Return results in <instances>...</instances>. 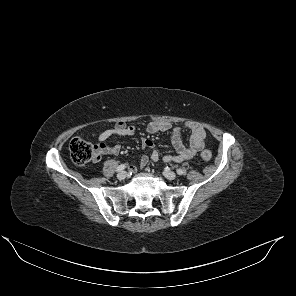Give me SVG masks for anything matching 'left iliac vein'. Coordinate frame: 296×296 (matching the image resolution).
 <instances>
[{
  "label": "left iliac vein",
  "instance_id": "1",
  "mask_svg": "<svg viewBox=\"0 0 296 296\" xmlns=\"http://www.w3.org/2000/svg\"><path fill=\"white\" fill-rule=\"evenodd\" d=\"M163 174L169 180H174L176 178V174L168 169H165Z\"/></svg>",
  "mask_w": 296,
  "mask_h": 296
}]
</instances>
